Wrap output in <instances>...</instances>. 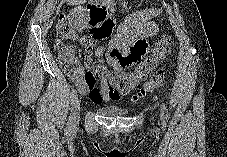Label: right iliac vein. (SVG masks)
Here are the masks:
<instances>
[{"instance_id":"right-iliac-vein-1","label":"right iliac vein","mask_w":227,"mask_h":157,"mask_svg":"<svg viewBox=\"0 0 227 157\" xmlns=\"http://www.w3.org/2000/svg\"><path fill=\"white\" fill-rule=\"evenodd\" d=\"M72 123H77L80 117V99L78 97L75 98L73 107H72Z\"/></svg>"}]
</instances>
